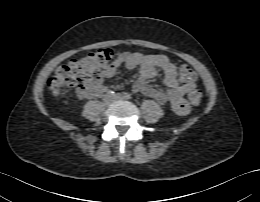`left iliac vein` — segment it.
Returning a JSON list of instances; mask_svg holds the SVG:
<instances>
[{
	"instance_id": "4c4485c4",
	"label": "left iliac vein",
	"mask_w": 260,
	"mask_h": 202,
	"mask_svg": "<svg viewBox=\"0 0 260 202\" xmlns=\"http://www.w3.org/2000/svg\"><path fill=\"white\" fill-rule=\"evenodd\" d=\"M114 99H115V100H123V99H126V98H125L124 95H122V94H116V95L114 96Z\"/></svg>"
}]
</instances>
